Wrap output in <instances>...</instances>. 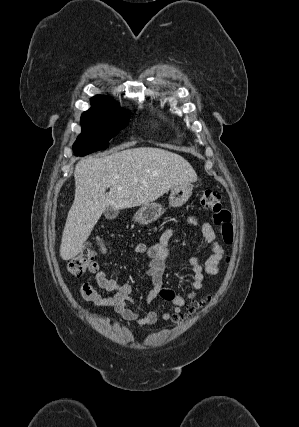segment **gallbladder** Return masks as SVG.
<instances>
[{
    "label": "gallbladder",
    "instance_id": "gallbladder-1",
    "mask_svg": "<svg viewBox=\"0 0 299 427\" xmlns=\"http://www.w3.org/2000/svg\"><path fill=\"white\" fill-rule=\"evenodd\" d=\"M103 214H104V216H105L106 219L112 220V219H115L118 216L119 211L118 210H114L111 207H107V208H105Z\"/></svg>",
    "mask_w": 299,
    "mask_h": 427
}]
</instances>
